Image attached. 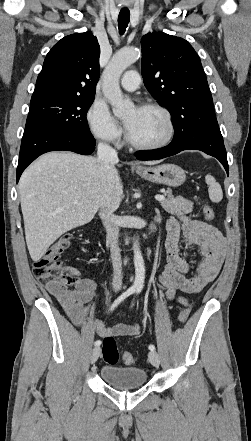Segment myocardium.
<instances>
[{
  "mask_svg": "<svg viewBox=\"0 0 251 441\" xmlns=\"http://www.w3.org/2000/svg\"><path fill=\"white\" fill-rule=\"evenodd\" d=\"M141 109H154L157 110L159 112H161L163 114V116L165 117L167 126H168V132L166 134V136L164 137V139H162L159 142L156 143H141L136 141L132 135L130 134L129 130L127 129L126 131V140L127 142L133 146L136 149H140V150H156V149H161L165 146H167L173 139L174 135H175V124L173 121V117L170 113V111L162 106L161 104L158 103H154V102H147V103H143L142 105H140Z\"/></svg>",
  "mask_w": 251,
  "mask_h": 441,
  "instance_id": "f54148a6",
  "label": "myocardium"
}]
</instances>
